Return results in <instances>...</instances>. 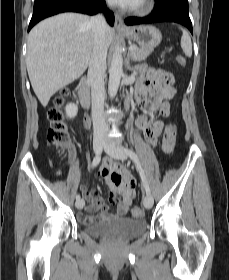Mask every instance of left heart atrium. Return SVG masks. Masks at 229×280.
Masks as SVG:
<instances>
[{"instance_id": "obj_1", "label": "left heart atrium", "mask_w": 229, "mask_h": 280, "mask_svg": "<svg viewBox=\"0 0 229 280\" xmlns=\"http://www.w3.org/2000/svg\"><path fill=\"white\" fill-rule=\"evenodd\" d=\"M123 7H133L140 3L141 0H112Z\"/></svg>"}]
</instances>
